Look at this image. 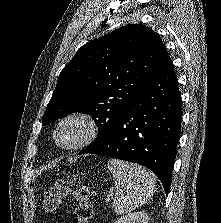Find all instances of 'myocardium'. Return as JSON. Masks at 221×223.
<instances>
[{"mask_svg":"<svg viewBox=\"0 0 221 223\" xmlns=\"http://www.w3.org/2000/svg\"><path fill=\"white\" fill-rule=\"evenodd\" d=\"M77 122L82 128V134L79 139L72 143L63 144L57 139L61 128L69 123ZM101 131L98 120L90 113L82 110L72 111L62 116L55 125L52 133L54 144L64 150H74L83 148L97 139Z\"/></svg>","mask_w":221,"mask_h":223,"instance_id":"f54148a6","label":"myocardium"}]
</instances>
